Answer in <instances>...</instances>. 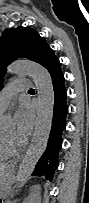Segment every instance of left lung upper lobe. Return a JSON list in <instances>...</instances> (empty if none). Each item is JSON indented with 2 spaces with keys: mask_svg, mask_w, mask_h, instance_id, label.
<instances>
[{
  "mask_svg": "<svg viewBox=\"0 0 89 203\" xmlns=\"http://www.w3.org/2000/svg\"><path fill=\"white\" fill-rule=\"evenodd\" d=\"M48 46L45 39L30 27L7 30L0 38V89L6 67L14 59L27 58L37 63Z\"/></svg>",
  "mask_w": 89,
  "mask_h": 203,
  "instance_id": "obj_1",
  "label": "left lung upper lobe"
}]
</instances>
